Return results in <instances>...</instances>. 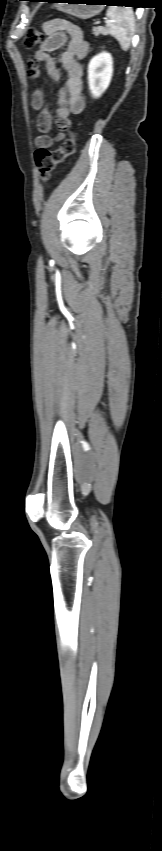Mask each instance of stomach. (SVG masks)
Segmentation results:
<instances>
[{"instance_id":"0dacf381","label":"stomach","mask_w":162,"mask_h":851,"mask_svg":"<svg viewBox=\"0 0 162 851\" xmlns=\"http://www.w3.org/2000/svg\"><path fill=\"white\" fill-rule=\"evenodd\" d=\"M55 7L81 19L91 18L103 9V0H56Z\"/></svg>"}]
</instances>
